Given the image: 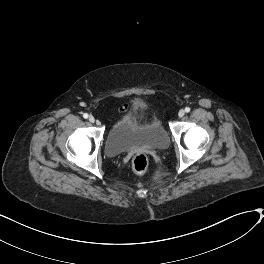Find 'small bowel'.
I'll return each instance as SVG.
<instances>
[{"mask_svg":"<svg viewBox=\"0 0 264 264\" xmlns=\"http://www.w3.org/2000/svg\"><path fill=\"white\" fill-rule=\"evenodd\" d=\"M141 107V104L140 103H135L133 106H128L126 108V111H127V116H136L139 109Z\"/></svg>","mask_w":264,"mask_h":264,"instance_id":"obj_1","label":"small bowel"}]
</instances>
